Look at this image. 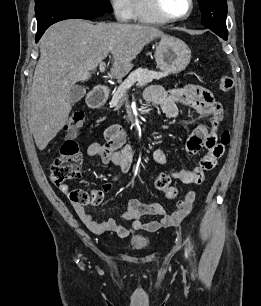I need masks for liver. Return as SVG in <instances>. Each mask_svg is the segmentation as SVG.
I'll return each mask as SVG.
<instances>
[{
    "label": "liver",
    "instance_id": "1",
    "mask_svg": "<svg viewBox=\"0 0 261 306\" xmlns=\"http://www.w3.org/2000/svg\"><path fill=\"white\" fill-rule=\"evenodd\" d=\"M161 30L137 24L97 23L69 19L52 25L39 42L40 58L29 94L28 123L39 150H44L68 120L70 93L76 82L91 77L109 54L110 74L122 79L132 61Z\"/></svg>",
    "mask_w": 261,
    "mask_h": 306
}]
</instances>
